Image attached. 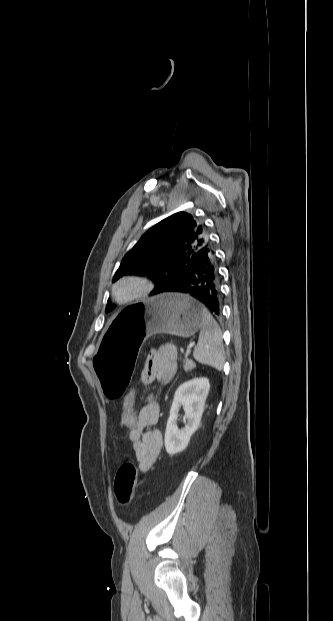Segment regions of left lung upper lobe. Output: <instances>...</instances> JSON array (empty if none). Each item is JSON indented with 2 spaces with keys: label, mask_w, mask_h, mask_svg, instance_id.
Instances as JSON below:
<instances>
[{
  "label": "left lung upper lobe",
  "mask_w": 333,
  "mask_h": 621,
  "mask_svg": "<svg viewBox=\"0 0 333 621\" xmlns=\"http://www.w3.org/2000/svg\"><path fill=\"white\" fill-rule=\"evenodd\" d=\"M205 245H211V241L204 223L189 213H175L142 235L123 258L113 282L126 274L148 275L155 283L150 295L160 294ZM112 309L113 305L108 300L106 312Z\"/></svg>",
  "instance_id": "1"
}]
</instances>
